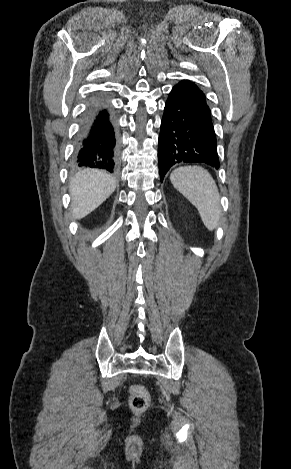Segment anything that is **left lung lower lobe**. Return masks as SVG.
Segmentation results:
<instances>
[{
    "mask_svg": "<svg viewBox=\"0 0 291 469\" xmlns=\"http://www.w3.org/2000/svg\"><path fill=\"white\" fill-rule=\"evenodd\" d=\"M158 160L161 182L177 163L220 167L211 111L194 82L183 80L169 93L161 122Z\"/></svg>",
    "mask_w": 291,
    "mask_h": 469,
    "instance_id": "1",
    "label": "left lung lower lobe"
}]
</instances>
